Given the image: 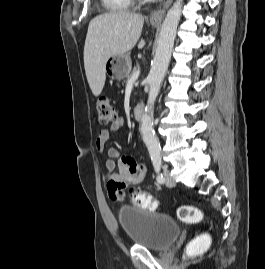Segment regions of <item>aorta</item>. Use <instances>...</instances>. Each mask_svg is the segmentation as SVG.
Masks as SVG:
<instances>
[{
    "instance_id": "762f6f07",
    "label": "aorta",
    "mask_w": 265,
    "mask_h": 269,
    "mask_svg": "<svg viewBox=\"0 0 265 269\" xmlns=\"http://www.w3.org/2000/svg\"><path fill=\"white\" fill-rule=\"evenodd\" d=\"M183 0H176L162 24L156 53L148 75V101L141 119V134L151 158H160L161 147L153 130V108L171 59Z\"/></svg>"
}]
</instances>
